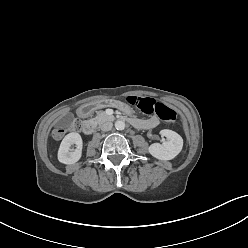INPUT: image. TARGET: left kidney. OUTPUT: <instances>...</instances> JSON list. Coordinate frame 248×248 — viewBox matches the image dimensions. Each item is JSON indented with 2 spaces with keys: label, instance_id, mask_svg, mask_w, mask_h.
Wrapping results in <instances>:
<instances>
[{
  "label": "left kidney",
  "instance_id": "1",
  "mask_svg": "<svg viewBox=\"0 0 248 248\" xmlns=\"http://www.w3.org/2000/svg\"><path fill=\"white\" fill-rule=\"evenodd\" d=\"M160 134L165 136L167 141L163 142V144H151L148 148L149 153L159 160H171L175 158L183 148L182 137L169 129L161 130Z\"/></svg>",
  "mask_w": 248,
  "mask_h": 248
}]
</instances>
